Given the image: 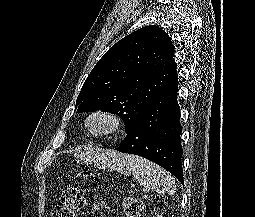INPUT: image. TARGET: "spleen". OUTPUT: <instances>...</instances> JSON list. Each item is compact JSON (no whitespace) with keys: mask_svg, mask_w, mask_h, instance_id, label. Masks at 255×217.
Listing matches in <instances>:
<instances>
[{"mask_svg":"<svg viewBox=\"0 0 255 217\" xmlns=\"http://www.w3.org/2000/svg\"><path fill=\"white\" fill-rule=\"evenodd\" d=\"M110 166L122 174L132 172L140 185L159 194L173 195L176 190L175 178L169 172L145 158L116 154L112 157Z\"/></svg>","mask_w":255,"mask_h":217,"instance_id":"obj_1","label":"spleen"}]
</instances>
